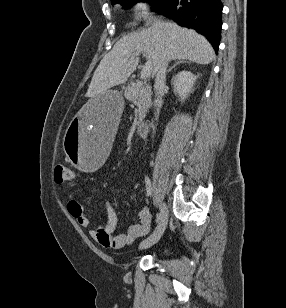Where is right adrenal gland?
Segmentation results:
<instances>
[{
    "label": "right adrenal gland",
    "instance_id": "obj_1",
    "mask_svg": "<svg viewBox=\"0 0 286 308\" xmlns=\"http://www.w3.org/2000/svg\"><path fill=\"white\" fill-rule=\"evenodd\" d=\"M185 63H191V61H187V60H180L177 63H175L169 70L168 73L171 72L177 65L179 64H185Z\"/></svg>",
    "mask_w": 286,
    "mask_h": 308
}]
</instances>
